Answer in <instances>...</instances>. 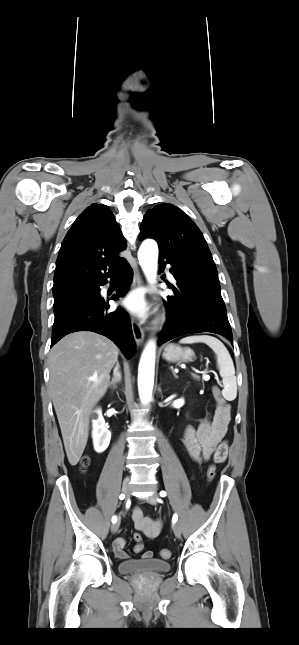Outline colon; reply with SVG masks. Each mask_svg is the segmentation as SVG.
I'll list each match as a JSON object with an SVG mask.
<instances>
[{
  "label": "colon",
  "instance_id": "obj_1",
  "mask_svg": "<svg viewBox=\"0 0 299 645\" xmlns=\"http://www.w3.org/2000/svg\"><path fill=\"white\" fill-rule=\"evenodd\" d=\"M212 393H213V396H214L215 400L217 401V403L220 406H222L225 410H229V406H228L226 400L224 399V397L222 395V392H221V390H220V388L218 386H214L212 388ZM88 465H89V458L84 457L81 460V470L85 471L87 469ZM215 475H216V466L214 464H211L207 469V478H208V480L212 481L215 478ZM134 539L137 542L135 547H134V551L136 553L143 552L144 546H143V544L141 542V536L139 534H136V535H134ZM160 555L164 559H169L171 557V551L169 549H162L161 552H160Z\"/></svg>",
  "mask_w": 299,
  "mask_h": 645
}]
</instances>
